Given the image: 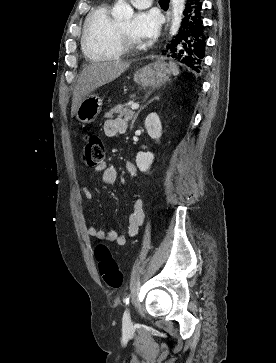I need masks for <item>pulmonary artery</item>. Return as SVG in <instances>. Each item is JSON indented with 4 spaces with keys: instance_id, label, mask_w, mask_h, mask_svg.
Masks as SVG:
<instances>
[{
    "instance_id": "e3ab8cb5",
    "label": "pulmonary artery",
    "mask_w": 276,
    "mask_h": 363,
    "mask_svg": "<svg viewBox=\"0 0 276 363\" xmlns=\"http://www.w3.org/2000/svg\"><path fill=\"white\" fill-rule=\"evenodd\" d=\"M130 1L132 5L138 9L148 8L152 3V0H130Z\"/></svg>"
}]
</instances>
